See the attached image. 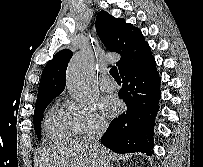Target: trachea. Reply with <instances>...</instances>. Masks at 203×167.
Listing matches in <instances>:
<instances>
[{"label":"trachea","mask_w":203,"mask_h":167,"mask_svg":"<svg viewBox=\"0 0 203 167\" xmlns=\"http://www.w3.org/2000/svg\"><path fill=\"white\" fill-rule=\"evenodd\" d=\"M110 74L112 75V77L117 81V80H121L120 75L118 73L117 67L113 66L110 69Z\"/></svg>","instance_id":"trachea-1"}]
</instances>
